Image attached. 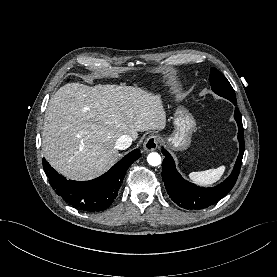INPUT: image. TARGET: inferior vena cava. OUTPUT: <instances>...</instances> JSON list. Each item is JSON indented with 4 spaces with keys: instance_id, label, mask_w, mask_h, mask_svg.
I'll use <instances>...</instances> for the list:
<instances>
[{
    "instance_id": "inferior-vena-cava-1",
    "label": "inferior vena cava",
    "mask_w": 277,
    "mask_h": 277,
    "mask_svg": "<svg viewBox=\"0 0 277 277\" xmlns=\"http://www.w3.org/2000/svg\"><path fill=\"white\" fill-rule=\"evenodd\" d=\"M131 143L132 138L129 135H122L117 139L115 147L119 150H125L130 147Z\"/></svg>"
}]
</instances>
